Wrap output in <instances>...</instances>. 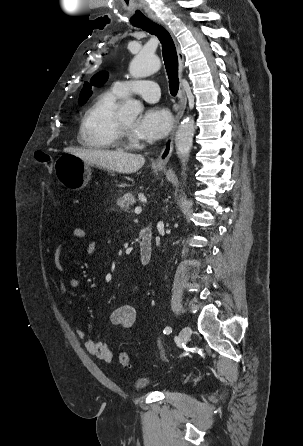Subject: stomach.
<instances>
[{
  "mask_svg": "<svg viewBox=\"0 0 303 446\" xmlns=\"http://www.w3.org/2000/svg\"><path fill=\"white\" fill-rule=\"evenodd\" d=\"M92 164L83 161L79 157L65 153L57 158L54 171L58 181L72 190L83 189L91 177ZM159 167V170H163Z\"/></svg>",
  "mask_w": 303,
  "mask_h": 446,
  "instance_id": "0dacf381",
  "label": "stomach"
}]
</instances>
